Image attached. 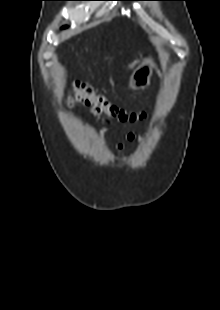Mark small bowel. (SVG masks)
<instances>
[{
	"label": "small bowel",
	"mask_w": 220,
	"mask_h": 310,
	"mask_svg": "<svg viewBox=\"0 0 220 310\" xmlns=\"http://www.w3.org/2000/svg\"><path fill=\"white\" fill-rule=\"evenodd\" d=\"M127 139L129 141H134V140L138 139V136L134 133H130V134H128ZM116 148L119 151H124V150H126L127 147L124 144H118Z\"/></svg>",
	"instance_id": "small-bowel-1"
}]
</instances>
